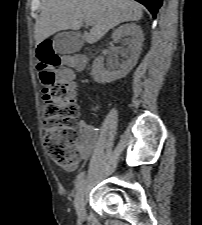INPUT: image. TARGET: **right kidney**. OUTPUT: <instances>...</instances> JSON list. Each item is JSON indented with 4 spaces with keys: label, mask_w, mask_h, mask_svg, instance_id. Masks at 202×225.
<instances>
[{
    "label": "right kidney",
    "mask_w": 202,
    "mask_h": 225,
    "mask_svg": "<svg viewBox=\"0 0 202 225\" xmlns=\"http://www.w3.org/2000/svg\"><path fill=\"white\" fill-rule=\"evenodd\" d=\"M112 39L115 42L122 40L124 45H127V48L121 51V55L125 60L122 64L116 61L114 66L118 69L109 71L104 68V58L102 56L97 57L92 68V76L97 83L113 82L125 77L132 70L141 53L144 35L139 25L130 23L121 25L115 29L112 33Z\"/></svg>",
    "instance_id": "right-kidney-1"
}]
</instances>
